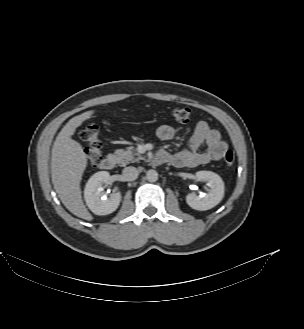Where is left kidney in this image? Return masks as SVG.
<instances>
[{
	"mask_svg": "<svg viewBox=\"0 0 304 329\" xmlns=\"http://www.w3.org/2000/svg\"><path fill=\"white\" fill-rule=\"evenodd\" d=\"M197 181H206L209 189L207 194L197 196L194 193L186 196L187 204L195 210H208L220 203L224 197V182L221 177L211 171H198L195 174Z\"/></svg>",
	"mask_w": 304,
	"mask_h": 329,
	"instance_id": "5707ae66",
	"label": "left kidney"
}]
</instances>
